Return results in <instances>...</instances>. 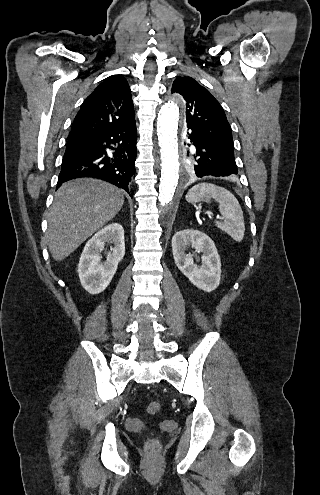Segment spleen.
<instances>
[{"instance_id":"spleen-1","label":"spleen","mask_w":320,"mask_h":495,"mask_svg":"<svg viewBox=\"0 0 320 495\" xmlns=\"http://www.w3.org/2000/svg\"><path fill=\"white\" fill-rule=\"evenodd\" d=\"M211 199L219 203V212L225 218L224 222H216V226L234 241L241 242L245 233L243 211L230 191L212 183H200L193 186L186 195L189 203H210Z\"/></svg>"}]
</instances>
